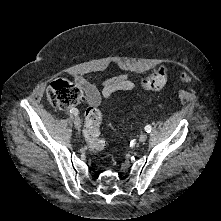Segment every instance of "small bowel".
<instances>
[{
  "label": "small bowel",
  "mask_w": 221,
  "mask_h": 221,
  "mask_svg": "<svg viewBox=\"0 0 221 221\" xmlns=\"http://www.w3.org/2000/svg\"><path fill=\"white\" fill-rule=\"evenodd\" d=\"M75 81L84 90L86 100L92 106H98L101 97L107 99L116 92L132 91L136 88V84L128 74H120L105 80L101 91L83 76H76Z\"/></svg>",
  "instance_id": "small-bowel-1"
}]
</instances>
